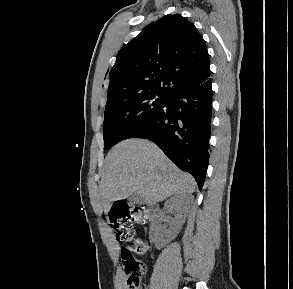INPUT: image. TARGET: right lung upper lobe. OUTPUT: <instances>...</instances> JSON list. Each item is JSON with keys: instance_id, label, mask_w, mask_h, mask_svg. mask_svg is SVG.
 <instances>
[{"instance_id": "cb5924a9", "label": "right lung upper lobe", "mask_w": 293, "mask_h": 289, "mask_svg": "<svg viewBox=\"0 0 293 289\" xmlns=\"http://www.w3.org/2000/svg\"><path fill=\"white\" fill-rule=\"evenodd\" d=\"M205 42L179 14L151 23L118 52L110 71L107 104L144 93L167 97L210 77Z\"/></svg>"}]
</instances>
